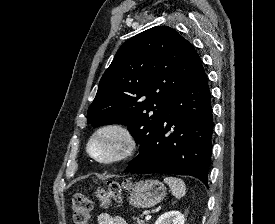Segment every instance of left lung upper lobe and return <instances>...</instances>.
I'll return each mask as SVG.
<instances>
[{
    "instance_id": "5c2ea615",
    "label": "left lung upper lobe",
    "mask_w": 275,
    "mask_h": 224,
    "mask_svg": "<svg viewBox=\"0 0 275 224\" xmlns=\"http://www.w3.org/2000/svg\"><path fill=\"white\" fill-rule=\"evenodd\" d=\"M201 59L174 29L156 26L127 40L102 76L87 121L123 124L140 149Z\"/></svg>"
}]
</instances>
